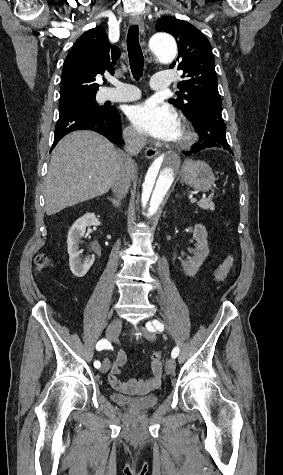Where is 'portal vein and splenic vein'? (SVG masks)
Returning a JSON list of instances; mask_svg holds the SVG:
<instances>
[{
  "instance_id": "1",
  "label": "portal vein and splenic vein",
  "mask_w": 283,
  "mask_h": 475,
  "mask_svg": "<svg viewBox=\"0 0 283 475\" xmlns=\"http://www.w3.org/2000/svg\"><path fill=\"white\" fill-rule=\"evenodd\" d=\"M190 200H191L192 204H193V202H197L196 198H190Z\"/></svg>"
}]
</instances>
